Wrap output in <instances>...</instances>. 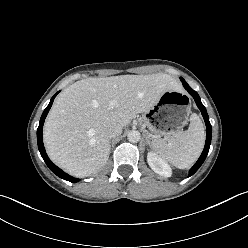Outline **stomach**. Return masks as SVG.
Returning <instances> with one entry per match:
<instances>
[{"instance_id":"0dacf381","label":"stomach","mask_w":248,"mask_h":248,"mask_svg":"<svg viewBox=\"0 0 248 248\" xmlns=\"http://www.w3.org/2000/svg\"><path fill=\"white\" fill-rule=\"evenodd\" d=\"M190 103L187 95L180 90L164 92L157 103L144 114V124L153 136V141L166 140L182 130L188 121Z\"/></svg>"}]
</instances>
